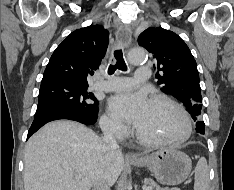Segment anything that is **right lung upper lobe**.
Masks as SVG:
<instances>
[{"label": "right lung upper lobe", "mask_w": 234, "mask_h": 190, "mask_svg": "<svg viewBox=\"0 0 234 190\" xmlns=\"http://www.w3.org/2000/svg\"><path fill=\"white\" fill-rule=\"evenodd\" d=\"M109 42V32L90 25L72 32L52 54L41 84L60 81L87 85V75L99 68Z\"/></svg>", "instance_id": "obj_1"}]
</instances>
